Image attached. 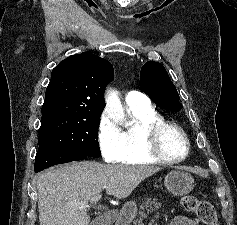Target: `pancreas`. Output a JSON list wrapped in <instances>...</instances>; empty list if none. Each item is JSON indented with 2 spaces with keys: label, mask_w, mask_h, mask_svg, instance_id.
Here are the masks:
<instances>
[{
  "label": "pancreas",
  "mask_w": 237,
  "mask_h": 225,
  "mask_svg": "<svg viewBox=\"0 0 237 225\" xmlns=\"http://www.w3.org/2000/svg\"><path fill=\"white\" fill-rule=\"evenodd\" d=\"M161 207V203L157 202V199L147 198L144 200L143 204L140 206L141 209H146L148 212L150 210H157Z\"/></svg>",
  "instance_id": "cf45deb5"
}]
</instances>
